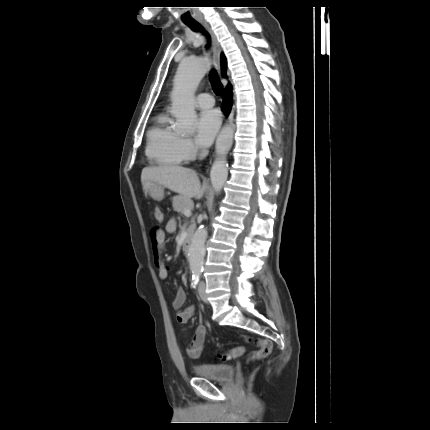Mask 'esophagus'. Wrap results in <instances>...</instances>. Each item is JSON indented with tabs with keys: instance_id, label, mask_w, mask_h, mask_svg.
<instances>
[{
	"instance_id": "esophagus-1",
	"label": "esophagus",
	"mask_w": 430,
	"mask_h": 430,
	"mask_svg": "<svg viewBox=\"0 0 430 430\" xmlns=\"http://www.w3.org/2000/svg\"><path fill=\"white\" fill-rule=\"evenodd\" d=\"M205 27L211 35L212 39V49H213V60L215 64V68L217 72H220V55H221V46L213 31L209 28V26L205 23Z\"/></svg>"
}]
</instances>
